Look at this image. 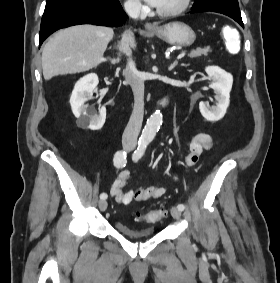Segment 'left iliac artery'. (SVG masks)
I'll return each instance as SVG.
<instances>
[{
    "label": "left iliac artery",
    "instance_id": "1",
    "mask_svg": "<svg viewBox=\"0 0 280 283\" xmlns=\"http://www.w3.org/2000/svg\"><path fill=\"white\" fill-rule=\"evenodd\" d=\"M146 148H147V143L139 144L137 150L134 152L132 156V159L134 161H138L144 155ZM177 208L183 211L185 209V206L184 204H178Z\"/></svg>",
    "mask_w": 280,
    "mask_h": 283
}]
</instances>
